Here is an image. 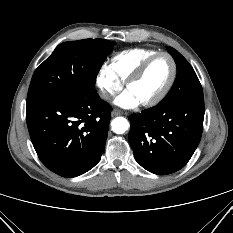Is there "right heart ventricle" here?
<instances>
[{"label":"right heart ventricle","mask_w":233,"mask_h":233,"mask_svg":"<svg viewBox=\"0 0 233 233\" xmlns=\"http://www.w3.org/2000/svg\"><path fill=\"white\" fill-rule=\"evenodd\" d=\"M156 53L157 50L149 48L125 50L112 57L108 66L116 78L124 83L143 61Z\"/></svg>","instance_id":"right-heart-ventricle-1"}]
</instances>
